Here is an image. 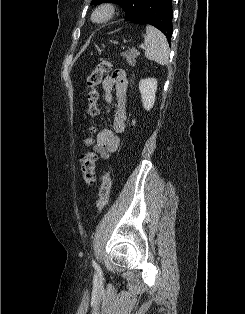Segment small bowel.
Returning <instances> with one entry per match:
<instances>
[{
  "mask_svg": "<svg viewBox=\"0 0 245 314\" xmlns=\"http://www.w3.org/2000/svg\"><path fill=\"white\" fill-rule=\"evenodd\" d=\"M104 97L108 104L114 100L113 130L103 126L97 133L95 153L102 159L109 158L120 145V134L126 130L128 79L124 69H117L102 81Z\"/></svg>",
  "mask_w": 245,
  "mask_h": 314,
  "instance_id": "c3829d8e",
  "label": "small bowel"
}]
</instances>
